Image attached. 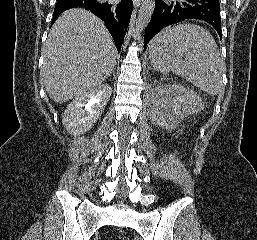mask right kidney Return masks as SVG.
Here are the masks:
<instances>
[{"instance_id":"obj_1","label":"right kidney","mask_w":257,"mask_h":240,"mask_svg":"<svg viewBox=\"0 0 257 240\" xmlns=\"http://www.w3.org/2000/svg\"><path fill=\"white\" fill-rule=\"evenodd\" d=\"M112 88L103 84L77 96L65 109L62 122L68 133L78 136L90 130L100 118Z\"/></svg>"}]
</instances>
